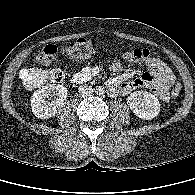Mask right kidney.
<instances>
[{"instance_id": "right-kidney-1", "label": "right kidney", "mask_w": 195, "mask_h": 195, "mask_svg": "<svg viewBox=\"0 0 195 195\" xmlns=\"http://www.w3.org/2000/svg\"><path fill=\"white\" fill-rule=\"evenodd\" d=\"M66 98L67 89L63 85L49 84L43 86L33 93L31 97V110L37 118L48 119L55 116Z\"/></svg>"}]
</instances>
